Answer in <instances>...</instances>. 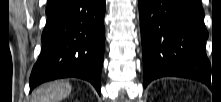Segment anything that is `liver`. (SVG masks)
<instances>
[{
  "label": "liver",
  "mask_w": 221,
  "mask_h": 102,
  "mask_svg": "<svg viewBox=\"0 0 221 102\" xmlns=\"http://www.w3.org/2000/svg\"><path fill=\"white\" fill-rule=\"evenodd\" d=\"M72 87L65 81L46 83L32 93L31 102H60L71 93Z\"/></svg>",
  "instance_id": "obj_1"
}]
</instances>
